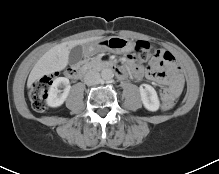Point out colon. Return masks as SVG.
<instances>
[{
	"label": "colon",
	"instance_id": "1",
	"mask_svg": "<svg viewBox=\"0 0 219 174\" xmlns=\"http://www.w3.org/2000/svg\"><path fill=\"white\" fill-rule=\"evenodd\" d=\"M156 54L153 47L146 41H138L135 45V61L137 64H142L150 60ZM55 78L54 74L45 75L42 78L34 81L30 87L29 98L34 110L42 112L46 109L47 92ZM174 107V102L171 100H163L161 108L169 111Z\"/></svg>",
	"mask_w": 219,
	"mask_h": 174
}]
</instances>
